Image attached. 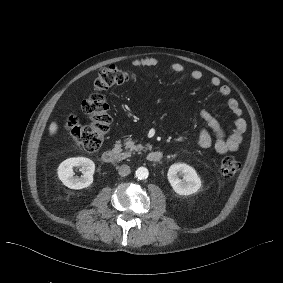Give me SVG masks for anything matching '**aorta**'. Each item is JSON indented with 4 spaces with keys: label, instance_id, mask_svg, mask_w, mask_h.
<instances>
[{
    "label": "aorta",
    "instance_id": "1",
    "mask_svg": "<svg viewBox=\"0 0 283 283\" xmlns=\"http://www.w3.org/2000/svg\"><path fill=\"white\" fill-rule=\"evenodd\" d=\"M136 177L140 180L146 179L149 175L148 169L145 167H139L136 170Z\"/></svg>",
    "mask_w": 283,
    "mask_h": 283
}]
</instances>
